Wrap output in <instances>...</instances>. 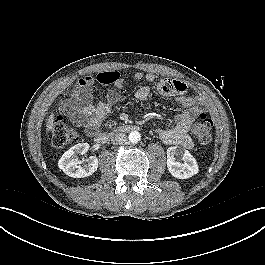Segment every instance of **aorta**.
I'll list each match as a JSON object with an SVG mask.
<instances>
[{
  "mask_svg": "<svg viewBox=\"0 0 265 265\" xmlns=\"http://www.w3.org/2000/svg\"><path fill=\"white\" fill-rule=\"evenodd\" d=\"M128 138L131 143H138L141 140V135L137 131H132Z\"/></svg>",
  "mask_w": 265,
  "mask_h": 265,
  "instance_id": "obj_1",
  "label": "aorta"
}]
</instances>
